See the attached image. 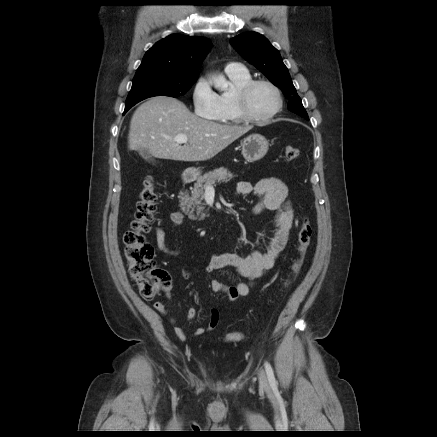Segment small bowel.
I'll return each mask as SVG.
<instances>
[{"mask_svg":"<svg viewBox=\"0 0 437 437\" xmlns=\"http://www.w3.org/2000/svg\"><path fill=\"white\" fill-rule=\"evenodd\" d=\"M237 195L246 197L255 195L257 202L252 208L253 214H259L265 210L275 212V231L273 236L268 241L265 251L260 252L253 250L248 254L242 255L237 253H221L211 257L206 266L208 273H214L225 268H233L246 281L235 285H227L218 279L211 281L212 290L223 293L229 301H235L240 297L246 296L249 293L250 287L261 277H263L275 264V261L284 250L292 229L294 210L288 197V188L286 184L279 178L268 177L263 178L252 184L242 181L237 184ZM170 220L174 226H180L184 221V215L180 211L171 213ZM155 237L158 248L169 255H176L177 250H170L165 243V231L161 227H156ZM171 279L165 274L163 290L167 298H171ZM154 308L161 314H167L163 303L157 301L154 303ZM197 312L194 308H189L186 313L188 320L195 319ZM219 310L214 307L210 310L209 325L207 329L200 326L197 327L193 335L198 336L206 330L215 329L219 323ZM175 322L174 319H172ZM175 333L181 340L188 338L187 332L181 327L175 328Z\"/></svg>","mask_w":437,"mask_h":437,"instance_id":"c3829d8e","label":"small bowel"}]
</instances>
